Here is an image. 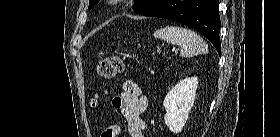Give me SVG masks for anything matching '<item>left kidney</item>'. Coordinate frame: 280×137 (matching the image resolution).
<instances>
[{
    "mask_svg": "<svg viewBox=\"0 0 280 137\" xmlns=\"http://www.w3.org/2000/svg\"><path fill=\"white\" fill-rule=\"evenodd\" d=\"M197 85L198 78L189 77L179 81L167 93L163 102L166 109L164 120L171 132L179 133L183 129L195 100Z\"/></svg>",
    "mask_w": 280,
    "mask_h": 137,
    "instance_id": "left-kidney-1",
    "label": "left kidney"
}]
</instances>
